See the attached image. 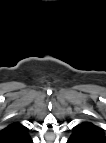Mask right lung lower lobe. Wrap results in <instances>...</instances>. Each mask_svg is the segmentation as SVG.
<instances>
[{"mask_svg": "<svg viewBox=\"0 0 106 143\" xmlns=\"http://www.w3.org/2000/svg\"><path fill=\"white\" fill-rule=\"evenodd\" d=\"M26 143H32L31 138H29V139L26 141Z\"/></svg>", "mask_w": 106, "mask_h": 143, "instance_id": "98d812e1", "label": "right lung lower lobe"}]
</instances>
